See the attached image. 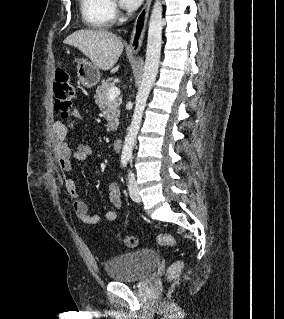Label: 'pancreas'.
<instances>
[{"instance_id": "pancreas-1", "label": "pancreas", "mask_w": 284, "mask_h": 319, "mask_svg": "<svg viewBox=\"0 0 284 319\" xmlns=\"http://www.w3.org/2000/svg\"><path fill=\"white\" fill-rule=\"evenodd\" d=\"M115 84L112 79L103 80L101 85L96 89V94L94 95L95 103L98 108L106 112L107 118V131H114L117 129L119 124L118 117L120 115L119 106L121 104L120 98H115L114 100L108 99V93L111 87Z\"/></svg>"}]
</instances>
